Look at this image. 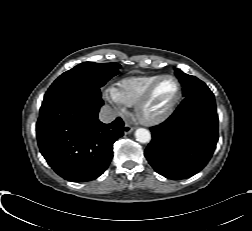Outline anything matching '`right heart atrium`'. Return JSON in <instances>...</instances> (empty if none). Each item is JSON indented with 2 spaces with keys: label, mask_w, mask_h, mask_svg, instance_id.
I'll return each mask as SVG.
<instances>
[{
  "label": "right heart atrium",
  "mask_w": 252,
  "mask_h": 231,
  "mask_svg": "<svg viewBox=\"0 0 252 231\" xmlns=\"http://www.w3.org/2000/svg\"><path fill=\"white\" fill-rule=\"evenodd\" d=\"M108 99L115 105V107L120 111H125V105L117 97L115 89H111L107 92Z\"/></svg>",
  "instance_id": "obj_1"
}]
</instances>
